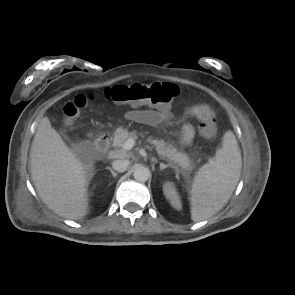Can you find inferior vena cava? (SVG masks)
<instances>
[{"label": "inferior vena cava", "mask_w": 295, "mask_h": 295, "mask_svg": "<svg viewBox=\"0 0 295 295\" xmlns=\"http://www.w3.org/2000/svg\"><path fill=\"white\" fill-rule=\"evenodd\" d=\"M129 160L127 159H117L112 162V167L118 172H125L128 168Z\"/></svg>", "instance_id": "602c4592"}]
</instances>
